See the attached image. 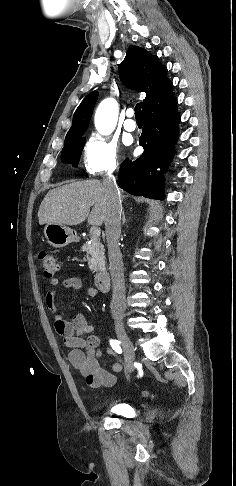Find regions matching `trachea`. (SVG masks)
Listing matches in <instances>:
<instances>
[{"label":"trachea","instance_id":"obj_1","mask_svg":"<svg viewBox=\"0 0 236 486\" xmlns=\"http://www.w3.org/2000/svg\"><path fill=\"white\" fill-rule=\"evenodd\" d=\"M141 107H142V103H138L136 106H135V118L136 119H142V115H141Z\"/></svg>","mask_w":236,"mask_h":486}]
</instances>
